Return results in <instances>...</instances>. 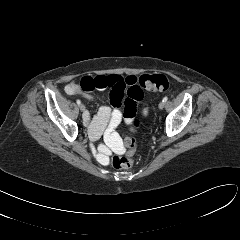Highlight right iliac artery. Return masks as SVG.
<instances>
[{
  "label": "right iliac artery",
  "instance_id": "1",
  "mask_svg": "<svg viewBox=\"0 0 240 240\" xmlns=\"http://www.w3.org/2000/svg\"><path fill=\"white\" fill-rule=\"evenodd\" d=\"M76 103H77L78 105H80V104H81V101L78 99V100L76 101Z\"/></svg>",
  "mask_w": 240,
  "mask_h": 240
}]
</instances>
